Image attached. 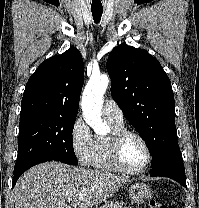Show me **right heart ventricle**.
I'll return each instance as SVG.
<instances>
[{
	"instance_id": "e07e8e85",
	"label": "right heart ventricle",
	"mask_w": 199,
	"mask_h": 208,
	"mask_svg": "<svg viewBox=\"0 0 199 208\" xmlns=\"http://www.w3.org/2000/svg\"><path fill=\"white\" fill-rule=\"evenodd\" d=\"M108 122L111 125L112 132L107 137H98L95 140V148H94V154H93L91 165L95 169L120 172V170L113 164L110 158L109 141H110L112 134H114L115 132L119 130L124 129V125L114 123L110 120H108Z\"/></svg>"
}]
</instances>
